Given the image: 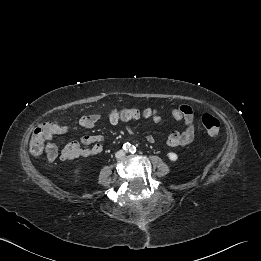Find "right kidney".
Masks as SVG:
<instances>
[{"label":"right kidney","instance_id":"1","mask_svg":"<svg viewBox=\"0 0 261 261\" xmlns=\"http://www.w3.org/2000/svg\"><path fill=\"white\" fill-rule=\"evenodd\" d=\"M75 173L78 174V173H79V169H76V170H75Z\"/></svg>","mask_w":261,"mask_h":261}]
</instances>
